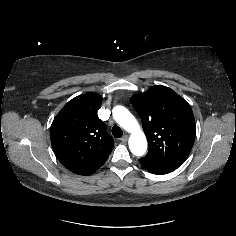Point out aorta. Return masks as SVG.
<instances>
[{"mask_svg": "<svg viewBox=\"0 0 236 236\" xmlns=\"http://www.w3.org/2000/svg\"><path fill=\"white\" fill-rule=\"evenodd\" d=\"M113 118L127 132L130 151L136 156H142L147 150V140L135 117L124 106H115L112 110Z\"/></svg>", "mask_w": 236, "mask_h": 236, "instance_id": "762f6f07", "label": "aorta"}]
</instances>
